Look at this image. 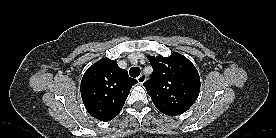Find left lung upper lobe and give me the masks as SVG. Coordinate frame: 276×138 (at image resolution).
<instances>
[{"label":"left lung upper lobe","instance_id":"5c2ea615","mask_svg":"<svg viewBox=\"0 0 276 138\" xmlns=\"http://www.w3.org/2000/svg\"><path fill=\"white\" fill-rule=\"evenodd\" d=\"M147 58L153 73L143 85L156 108L171 116L186 112L200 92V76L195 66L177 52L169 57L159 55Z\"/></svg>","mask_w":276,"mask_h":138}]
</instances>
